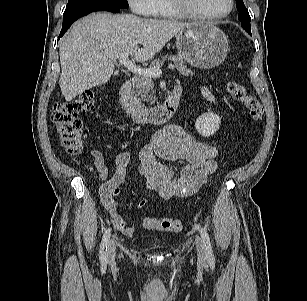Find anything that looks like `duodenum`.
I'll use <instances>...</instances> for the list:
<instances>
[{
	"label": "duodenum",
	"mask_w": 307,
	"mask_h": 301,
	"mask_svg": "<svg viewBox=\"0 0 307 301\" xmlns=\"http://www.w3.org/2000/svg\"><path fill=\"white\" fill-rule=\"evenodd\" d=\"M131 91L132 81L127 79L119 92V101L122 108L135 123L152 125L162 124L173 116L182 94L181 88L176 87L168 93L162 104L153 108H145L134 101Z\"/></svg>",
	"instance_id": "duodenum-1"
}]
</instances>
